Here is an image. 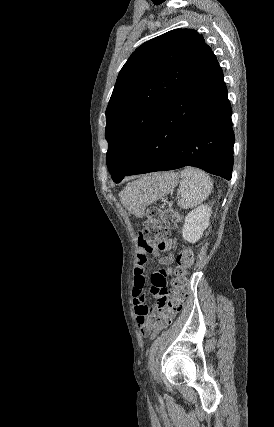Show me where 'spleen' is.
Segmentation results:
<instances>
[{"mask_svg":"<svg viewBox=\"0 0 274 427\" xmlns=\"http://www.w3.org/2000/svg\"><path fill=\"white\" fill-rule=\"evenodd\" d=\"M182 180L177 192L180 200H178V206L183 208V210H188V208H194L198 204H202L209 194L212 192V182L205 172L197 170V168H190L187 166L185 170L181 172ZM137 184L136 190L138 188H145V190H150L152 182L148 180H139V182H134ZM153 186H155L153 182ZM155 192V190H153ZM153 198L152 194H148L146 200H151Z\"/></svg>","mask_w":274,"mask_h":427,"instance_id":"spleen-1","label":"spleen"}]
</instances>
